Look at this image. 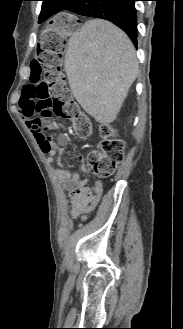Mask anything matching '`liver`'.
<instances>
[{
  "instance_id": "liver-1",
  "label": "liver",
  "mask_w": 183,
  "mask_h": 329,
  "mask_svg": "<svg viewBox=\"0 0 183 329\" xmlns=\"http://www.w3.org/2000/svg\"><path fill=\"white\" fill-rule=\"evenodd\" d=\"M64 67L73 96L102 124L116 119L138 74L129 37L101 19L85 22L70 37Z\"/></svg>"
}]
</instances>
